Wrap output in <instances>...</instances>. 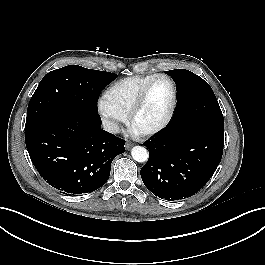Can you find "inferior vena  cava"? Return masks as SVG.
<instances>
[{"label": "inferior vena cava", "instance_id": "inferior-vena-cava-1", "mask_svg": "<svg viewBox=\"0 0 265 265\" xmlns=\"http://www.w3.org/2000/svg\"><path fill=\"white\" fill-rule=\"evenodd\" d=\"M102 125H103V129L106 130L107 132H110L113 134H117L120 132L119 126L112 121L104 119L102 121Z\"/></svg>", "mask_w": 265, "mask_h": 265}]
</instances>
